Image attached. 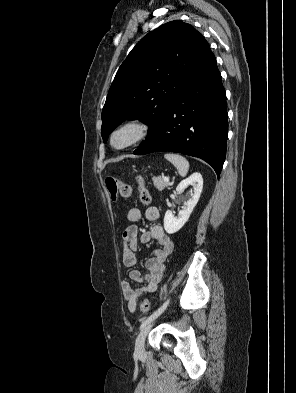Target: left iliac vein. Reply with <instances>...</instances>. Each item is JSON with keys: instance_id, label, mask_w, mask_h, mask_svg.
<instances>
[{"instance_id": "obj_1", "label": "left iliac vein", "mask_w": 296, "mask_h": 393, "mask_svg": "<svg viewBox=\"0 0 296 393\" xmlns=\"http://www.w3.org/2000/svg\"><path fill=\"white\" fill-rule=\"evenodd\" d=\"M153 325V322L151 321L149 324H147L145 327L142 328L140 331L139 335L137 336L136 343H135V354L137 356H143L145 352V339Z\"/></svg>"}]
</instances>
